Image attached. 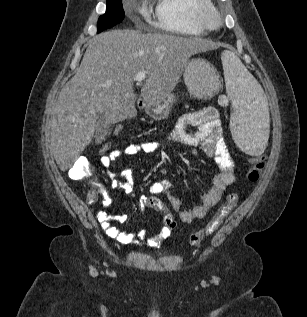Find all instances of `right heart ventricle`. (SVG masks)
Instances as JSON below:
<instances>
[{"instance_id":"right-heart-ventricle-1","label":"right heart ventricle","mask_w":307,"mask_h":317,"mask_svg":"<svg viewBox=\"0 0 307 317\" xmlns=\"http://www.w3.org/2000/svg\"><path fill=\"white\" fill-rule=\"evenodd\" d=\"M211 0H155V26L163 31L182 35H204L196 11Z\"/></svg>"}]
</instances>
